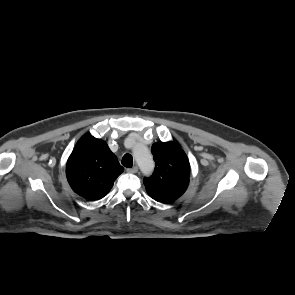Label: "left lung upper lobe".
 I'll list each match as a JSON object with an SVG mask.
<instances>
[{
  "mask_svg": "<svg viewBox=\"0 0 295 295\" xmlns=\"http://www.w3.org/2000/svg\"><path fill=\"white\" fill-rule=\"evenodd\" d=\"M155 170L143 182L148 195L161 203H171L184 194L189 184L190 164L184 150L175 142L152 145Z\"/></svg>",
  "mask_w": 295,
  "mask_h": 295,
  "instance_id": "left-lung-upper-lobe-1",
  "label": "left lung upper lobe"
}]
</instances>
